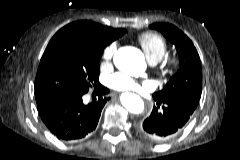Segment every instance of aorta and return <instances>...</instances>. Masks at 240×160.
Listing matches in <instances>:
<instances>
[{"mask_svg":"<svg viewBox=\"0 0 240 160\" xmlns=\"http://www.w3.org/2000/svg\"><path fill=\"white\" fill-rule=\"evenodd\" d=\"M115 66L125 72H140L145 67L144 56L142 52L133 47H123L114 54ZM122 105L132 113H141L143 111V101L134 93H124L121 95Z\"/></svg>","mask_w":240,"mask_h":160,"instance_id":"aorta-1","label":"aorta"}]
</instances>
